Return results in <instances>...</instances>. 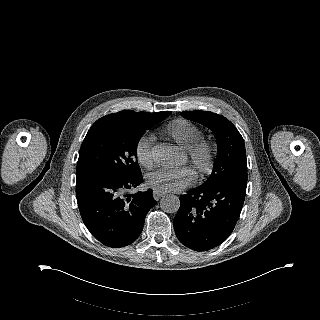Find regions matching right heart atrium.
<instances>
[{
	"mask_svg": "<svg viewBox=\"0 0 320 320\" xmlns=\"http://www.w3.org/2000/svg\"><path fill=\"white\" fill-rule=\"evenodd\" d=\"M151 144H152L151 138H143L138 143L137 156L140 162L144 165L148 164L151 160V155H150Z\"/></svg>",
	"mask_w": 320,
	"mask_h": 320,
	"instance_id": "1",
	"label": "right heart atrium"
}]
</instances>
